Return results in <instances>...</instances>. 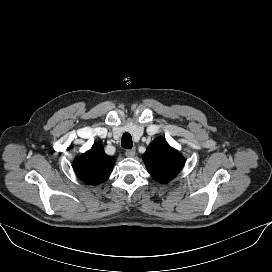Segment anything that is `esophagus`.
<instances>
[{"mask_svg": "<svg viewBox=\"0 0 272 272\" xmlns=\"http://www.w3.org/2000/svg\"><path fill=\"white\" fill-rule=\"evenodd\" d=\"M125 155L127 157H133L135 155V148H132V149H128L125 151Z\"/></svg>", "mask_w": 272, "mask_h": 272, "instance_id": "obj_1", "label": "esophagus"}]
</instances>
